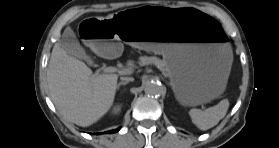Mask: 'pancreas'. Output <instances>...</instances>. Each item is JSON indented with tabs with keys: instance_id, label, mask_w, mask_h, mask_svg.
Wrapping results in <instances>:
<instances>
[{
	"instance_id": "pancreas-1",
	"label": "pancreas",
	"mask_w": 279,
	"mask_h": 148,
	"mask_svg": "<svg viewBox=\"0 0 279 148\" xmlns=\"http://www.w3.org/2000/svg\"><path fill=\"white\" fill-rule=\"evenodd\" d=\"M140 63L142 65L155 64L163 72L165 76H168V68L164 60H161L157 57H141Z\"/></svg>"
}]
</instances>
